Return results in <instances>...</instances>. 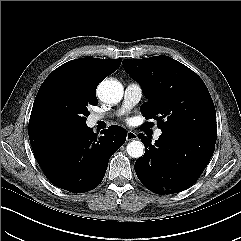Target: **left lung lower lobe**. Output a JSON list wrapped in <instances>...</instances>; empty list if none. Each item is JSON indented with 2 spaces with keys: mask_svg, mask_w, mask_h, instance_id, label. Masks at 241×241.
I'll return each instance as SVG.
<instances>
[{
  "mask_svg": "<svg viewBox=\"0 0 241 241\" xmlns=\"http://www.w3.org/2000/svg\"><path fill=\"white\" fill-rule=\"evenodd\" d=\"M146 151L135 165L138 179L157 194H173L189 188L209 163L216 137L203 133L163 129L155 144L138 134Z\"/></svg>",
  "mask_w": 241,
  "mask_h": 241,
  "instance_id": "0a47b994",
  "label": "left lung lower lobe"
}]
</instances>
